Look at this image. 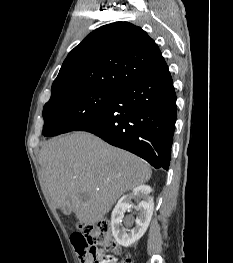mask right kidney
Wrapping results in <instances>:
<instances>
[{
	"mask_svg": "<svg viewBox=\"0 0 233 263\" xmlns=\"http://www.w3.org/2000/svg\"><path fill=\"white\" fill-rule=\"evenodd\" d=\"M152 188L148 185H140L133 189L132 193L122 196L117 202L111 215V228L112 234L118 244L128 247L138 241L146 232L150 220L152 218L154 210V201L149 194ZM135 198L138 201L136 210L138 216L135 219L136 226L129 230L128 228L122 227V220L124 213L130 211L133 208L131 200ZM133 220L127 223V226H131Z\"/></svg>",
	"mask_w": 233,
	"mask_h": 263,
	"instance_id": "1",
	"label": "right kidney"
}]
</instances>
